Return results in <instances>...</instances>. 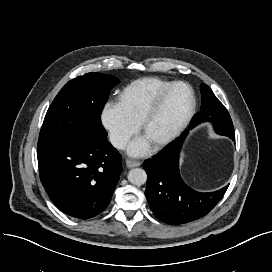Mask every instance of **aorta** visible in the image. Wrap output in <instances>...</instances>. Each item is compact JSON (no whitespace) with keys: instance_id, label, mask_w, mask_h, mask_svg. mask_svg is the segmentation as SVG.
I'll return each instance as SVG.
<instances>
[{"instance_id":"obj_1","label":"aorta","mask_w":272,"mask_h":272,"mask_svg":"<svg viewBox=\"0 0 272 272\" xmlns=\"http://www.w3.org/2000/svg\"><path fill=\"white\" fill-rule=\"evenodd\" d=\"M128 180L130 183L140 186L146 183L147 174L144 169L134 168L128 173Z\"/></svg>"}]
</instances>
